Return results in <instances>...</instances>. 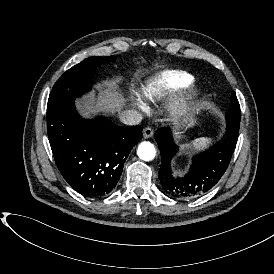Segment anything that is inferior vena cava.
I'll return each instance as SVG.
<instances>
[{"label":"inferior vena cava","mask_w":274,"mask_h":274,"mask_svg":"<svg viewBox=\"0 0 274 274\" xmlns=\"http://www.w3.org/2000/svg\"><path fill=\"white\" fill-rule=\"evenodd\" d=\"M119 119L122 123L126 125H137L139 124L143 116L137 110H124L119 114Z\"/></svg>","instance_id":"602c4592"}]
</instances>
